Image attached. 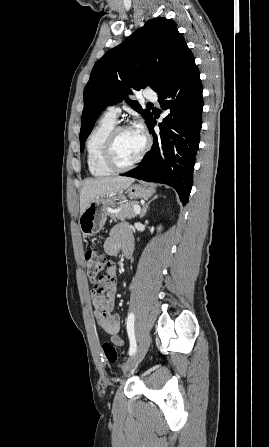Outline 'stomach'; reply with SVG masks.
I'll return each mask as SVG.
<instances>
[{
	"label": "stomach",
	"instance_id": "1",
	"mask_svg": "<svg viewBox=\"0 0 269 447\" xmlns=\"http://www.w3.org/2000/svg\"><path fill=\"white\" fill-rule=\"evenodd\" d=\"M124 190H126L125 194H128V198H150L155 192L152 184H145V182L133 184V186L124 188ZM124 190L114 192L112 198H109L110 194H103V196H98V198H95L93 202L88 204L86 210L79 218V227L85 237L99 233L106 222L108 206H115L113 196H119L122 200H126L125 196H123Z\"/></svg>",
	"mask_w": 269,
	"mask_h": 447
}]
</instances>
